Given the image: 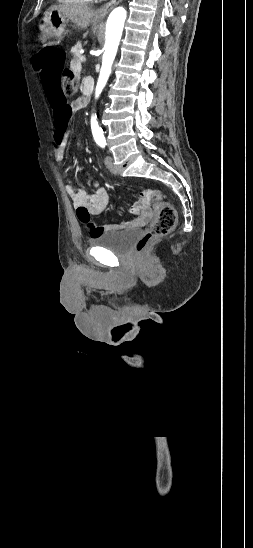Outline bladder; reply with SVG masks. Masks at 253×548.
Returning <instances> with one entry per match:
<instances>
[{"label":"bladder","instance_id":"obj_1","mask_svg":"<svg viewBox=\"0 0 253 548\" xmlns=\"http://www.w3.org/2000/svg\"><path fill=\"white\" fill-rule=\"evenodd\" d=\"M141 233L142 231L137 228L110 231L90 237L89 243L92 246L104 247L115 254H126L140 238Z\"/></svg>","mask_w":253,"mask_h":548}]
</instances>
